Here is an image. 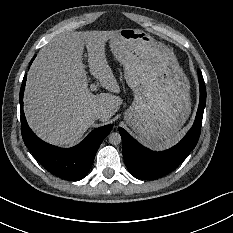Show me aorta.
Instances as JSON below:
<instances>
[{
  "mask_svg": "<svg viewBox=\"0 0 233 233\" xmlns=\"http://www.w3.org/2000/svg\"><path fill=\"white\" fill-rule=\"evenodd\" d=\"M109 142L113 145H118L121 143V135L117 132L109 134Z\"/></svg>",
  "mask_w": 233,
  "mask_h": 233,
  "instance_id": "762f6f07",
  "label": "aorta"
}]
</instances>
